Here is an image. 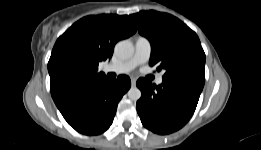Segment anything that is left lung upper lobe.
Segmentation results:
<instances>
[{
    "label": "left lung upper lobe",
    "mask_w": 261,
    "mask_h": 150,
    "mask_svg": "<svg viewBox=\"0 0 261 150\" xmlns=\"http://www.w3.org/2000/svg\"><path fill=\"white\" fill-rule=\"evenodd\" d=\"M139 33L151 43L149 64L164 70L163 78L191 75L205 80V53L196 33L178 18L156 11L130 15Z\"/></svg>",
    "instance_id": "1"
}]
</instances>
